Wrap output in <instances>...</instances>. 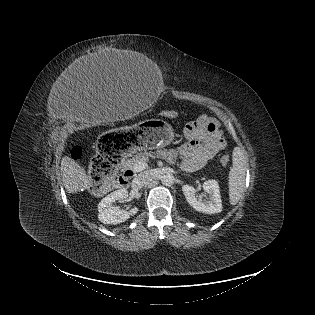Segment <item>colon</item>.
<instances>
[{"label": "colon", "instance_id": "colon-1", "mask_svg": "<svg viewBox=\"0 0 315 315\" xmlns=\"http://www.w3.org/2000/svg\"><path fill=\"white\" fill-rule=\"evenodd\" d=\"M166 117L173 118L177 114L174 111H168L164 114ZM82 155V149L76 147L73 150V157L79 159ZM230 161L228 154H224L220 158L222 165H227ZM118 158L105 156L99 152L91 163L90 174L92 178V191L95 193L102 192L116 182Z\"/></svg>", "mask_w": 315, "mask_h": 315}]
</instances>
